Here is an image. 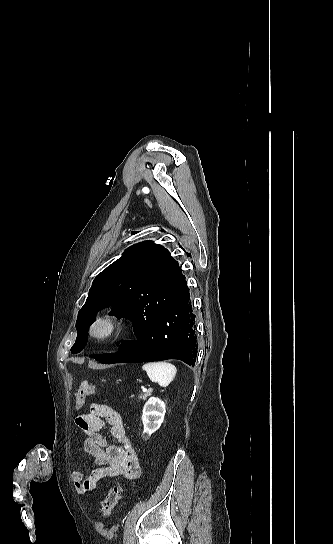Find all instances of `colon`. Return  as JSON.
Segmentation results:
<instances>
[{"label": "colon", "mask_w": 333, "mask_h": 544, "mask_svg": "<svg viewBox=\"0 0 333 544\" xmlns=\"http://www.w3.org/2000/svg\"><path fill=\"white\" fill-rule=\"evenodd\" d=\"M96 394L97 391L93 386L87 381L82 382L75 395V408L77 410L82 408L86 398ZM121 492V487L117 484L110 487L105 498L101 502V515L103 518H108L112 514L115 506L119 503Z\"/></svg>", "instance_id": "obj_1"}]
</instances>
